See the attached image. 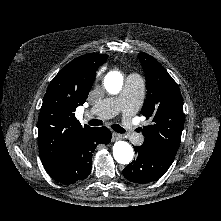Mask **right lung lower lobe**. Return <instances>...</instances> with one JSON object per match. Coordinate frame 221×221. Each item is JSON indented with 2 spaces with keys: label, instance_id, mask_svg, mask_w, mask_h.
Segmentation results:
<instances>
[{
  "label": "right lung lower lobe",
  "instance_id": "98d812e1",
  "mask_svg": "<svg viewBox=\"0 0 221 221\" xmlns=\"http://www.w3.org/2000/svg\"><path fill=\"white\" fill-rule=\"evenodd\" d=\"M111 131L106 127L89 128L80 133L66 154L60 171L52 178L63 184L84 180L91 172L92 153L100 143L108 144Z\"/></svg>",
  "mask_w": 221,
  "mask_h": 221
}]
</instances>
